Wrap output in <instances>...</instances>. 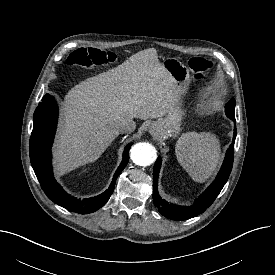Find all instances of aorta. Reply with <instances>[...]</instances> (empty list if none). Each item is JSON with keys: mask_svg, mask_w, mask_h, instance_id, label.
I'll return each mask as SVG.
<instances>
[{"mask_svg": "<svg viewBox=\"0 0 275 275\" xmlns=\"http://www.w3.org/2000/svg\"><path fill=\"white\" fill-rule=\"evenodd\" d=\"M130 152L132 161L139 166L151 165L157 158L155 148L149 143H137Z\"/></svg>", "mask_w": 275, "mask_h": 275, "instance_id": "aorta-1", "label": "aorta"}]
</instances>
